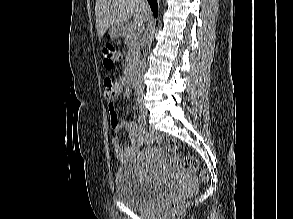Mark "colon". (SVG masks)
Here are the masks:
<instances>
[{
	"label": "colon",
	"mask_w": 293,
	"mask_h": 219,
	"mask_svg": "<svg viewBox=\"0 0 293 219\" xmlns=\"http://www.w3.org/2000/svg\"><path fill=\"white\" fill-rule=\"evenodd\" d=\"M104 54V66L106 69H112L121 59L120 52L111 44H107L103 49ZM151 143L156 144L157 146L164 148L170 152L176 153L178 144L177 141L167 135H161L157 133H151L149 136ZM177 159L181 163L182 167L189 172H194L198 169L197 159L189 154H180L177 155ZM208 173L205 170H202L199 178L201 181L205 182L208 180ZM191 188H185L179 193L170 198L167 202V207L169 211H175L179 208L182 198L190 193Z\"/></svg>",
	"instance_id": "colon-1"
}]
</instances>
